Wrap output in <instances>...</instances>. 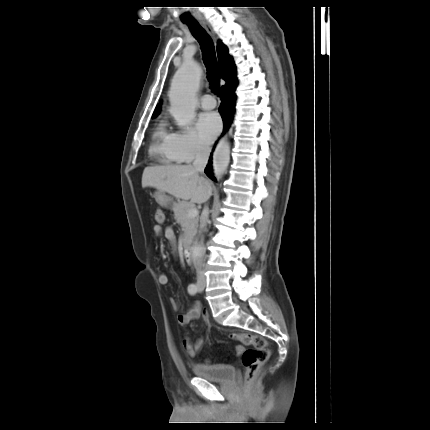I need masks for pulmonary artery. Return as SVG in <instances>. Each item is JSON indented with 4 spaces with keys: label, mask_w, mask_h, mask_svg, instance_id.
I'll use <instances>...</instances> for the list:
<instances>
[{
    "label": "pulmonary artery",
    "mask_w": 430,
    "mask_h": 430,
    "mask_svg": "<svg viewBox=\"0 0 430 430\" xmlns=\"http://www.w3.org/2000/svg\"><path fill=\"white\" fill-rule=\"evenodd\" d=\"M201 107L206 110H210L216 107V100L213 96L206 94L201 98Z\"/></svg>",
    "instance_id": "obj_1"
}]
</instances>
